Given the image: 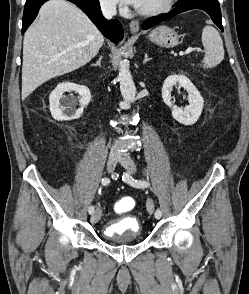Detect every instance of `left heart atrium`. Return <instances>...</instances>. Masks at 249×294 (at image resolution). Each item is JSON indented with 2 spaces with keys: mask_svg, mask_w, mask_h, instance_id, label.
<instances>
[{
  "mask_svg": "<svg viewBox=\"0 0 249 294\" xmlns=\"http://www.w3.org/2000/svg\"><path fill=\"white\" fill-rule=\"evenodd\" d=\"M124 2L138 6L141 0H123Z\"/></svg>",
  "mask_w": 249,
  "mask_h": 294,
  "instance_id": "obj_1",
  "label": "left heart atrium"
}]
</instances>
